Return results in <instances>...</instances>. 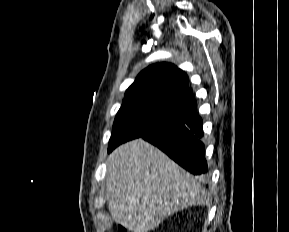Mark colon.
<instances>
[{"instance_id": "1", "label": "colon", "mask_w": 289, "mask_h": 232, "mask_svg": "<svg viewBox=\"0 0 289 232\" xmlns=\"http://www.w3.org/2000/svg\"><path fill=\"white\" fill-rule=\"evenodd\" d=\"M118 231H119V232H128L127 229H126L124 226H122V225H120V226L118 227Z\"/></svg>"}]
</instances>
